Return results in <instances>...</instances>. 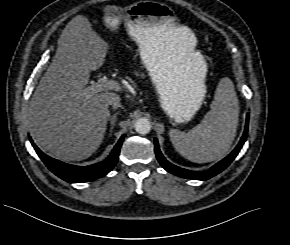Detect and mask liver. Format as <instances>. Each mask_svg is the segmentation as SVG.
<instances>
[{
    "instance_id": "obj_1",
    "label": "liver",
    "mask_w": 290,
    "mask_h": 245,
    "mask_svg": "<svg viewBox=\"0 0 290 245\" xmlns=\"http://www.w3.org/2000/svg\"><path fill=\"white\" fill-rule=\"evenodd\" d=\"M115 15L105 14L106 20ZM109 42L78 16L64 30L54 62L37 87L30 105L33 135L48 151L68 158L92 154L107 129L109 102L118 95L91 90L90 74L103 63Z\"/></svg>"
}]
</instances>
